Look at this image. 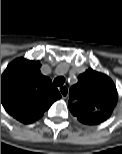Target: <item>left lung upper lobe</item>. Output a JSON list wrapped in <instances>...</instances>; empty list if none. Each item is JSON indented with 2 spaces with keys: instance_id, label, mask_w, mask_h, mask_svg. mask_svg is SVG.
<instances>
[{
  "instance_id": "obj_1",
  "label": "left lung upper lobe",
  "mask_w": 122,
  "mask_h": 154,
  "mask_svg": "<svg viewBox=\"0 0 122 154\" xmlns=\"http://www.w3.org/2000/svg\"><path fill=\"white\" fill-rule=\"evenodd\" d=\"M69 97L71 113L80 122L95 125L111 115L117 103V90L107 75L88 69L70 88Z\"/></svg>"
}]
</instances>
